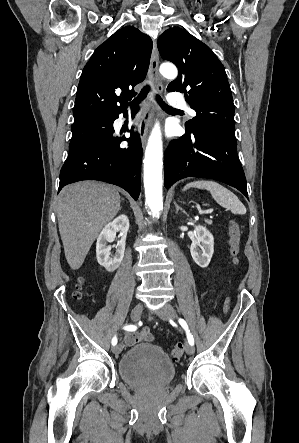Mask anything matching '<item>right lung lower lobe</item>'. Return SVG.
<instances>
[{"mask_svg": "<svg viewBox=\"0 0 299 443\" xmlns=\"http://www.w3.org/2000/svg\"><path fill=\"white\" fill-rule=\"evenodd\" d=\"M125 115L127 111H122ZM121 113V112H120ZM120 113L107 116L112 129L69 153L60 172V191L65 185L82 180H99L125 189L135 200L140 194L142 146L138 133L130 138L113 135V122ZM135 113V112H134ZM128 146L121 148L122 141Z\"/></svg>", "mask_w": 299, "mask_h": 443, "instance_id": "obj_1", "label": "right lung lower lobe"}]
</instances>
